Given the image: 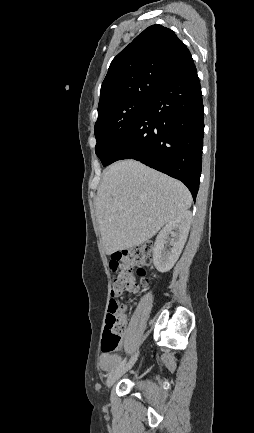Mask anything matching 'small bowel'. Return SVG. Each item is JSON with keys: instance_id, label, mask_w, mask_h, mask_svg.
Returning <instances> with one entry per match:
<instances>
[{"instance_id": "c3829d8e", "label": "small bowel", "mask_w": 254, "mask_h": 433, "mask_svg": "<svg viewBox=\"0 0 254 433\" xmlns=\"http://www.w3.org/2000/svg\"><path fill=\"white\" fill-rule=\"evenodd\" d=\"M114 295L119 296L120 292L114 293ZM120 361V357L115 354H102L99 364L102 370L111 371L119 366Z\"/></svg>"}]
</instances>
